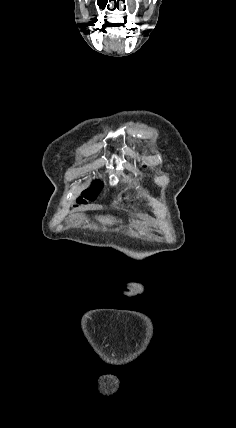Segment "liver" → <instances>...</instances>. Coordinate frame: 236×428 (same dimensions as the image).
<instances>
[{
	"instance_id": "1",
	"label": "liver",
	"mask_w": 236,
	"mask_h": 428,
	"mask_svg": "<svg viewBox=\"0 0 236 428\" xmlns=\"http://www.w3.org/2000/svg\"><path fill=\"white\" fill-rule=\"evenodd\" d=\"M98 220L99 222H103V224H112V222H115V220H109L106 216H99Z\"/></svg>"
}]
</instances>
